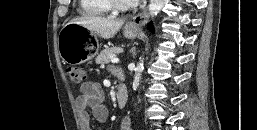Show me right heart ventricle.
Masks as SVG:
<instances>
[{
  "instance_id": "e07e8e85",
  "label": "right heart ventricle",
  "mask_w": 257,
  "mask_h": 130,
  "mask_svg": "<svg viewBox=\"0 0 257 130\" xmlns=\"http://www.w3.org/2000/svg\"><path fill=\"white\" fill-rule=\"evenodd\" d=\"M111 11L105 0H79V12L89 16H101Z\"/></svg>"
}]
</instances>
